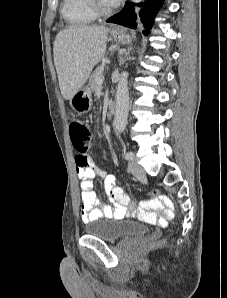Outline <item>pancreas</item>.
<instances>
[{
  "mask_svg": "<svg viewBox=\"0 0 227 298\" xmlns=\"http://www.w3.org/2000/svg\"><path fill=\"white\" fill-rule=\"evenodd\" d=\"M104 67H105L104 64L100 65L99 67H97L95 69V71L90 76L89 85H90L91 91L97 90V88H98L97 78H99L102 75V73L104 71Z\"/></svg>",
  "mask_w": 227,
  "mask_h": 298,
  "instance_id": "1",
  "label": "pancreas"
}]
</instances>
